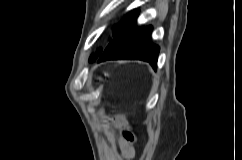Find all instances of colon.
Masks as SVG:
<instances>
[{"instance_id": "colon-1", "label": "colon", "mask_w": 242, "mask_h": 160, "mask_svg": "<svg viewBox=\"0 0 242 160\" xmlns=\"http://www.w3.org/2000/svg\"><path fill=\"white\" fill-rule=\"evenodd\" d=\"M129 138H131V137H133L131 134H129V136H128Z\"/></svg>"}]
</instances>
